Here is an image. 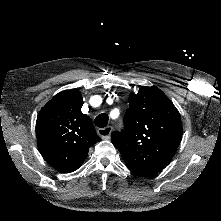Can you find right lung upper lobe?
<instances>
[{"label":"right lung upper lobe","mask_w":221,"mask_h":221,"mask_svg":"<svg viewBox=\"0 0 221 221\" xmlns=\"http://www.w3.org/2000/svg\"><path fill=\"white\" fill-rule=\"evenodd\" d=\"M83 99L78 90H65L39 112L36 122L38 149L56 170H77L89 148L101 140L91 119L81 112Z\"/></svg>","instance_id":"1"}]
</instances>
